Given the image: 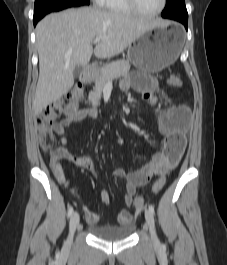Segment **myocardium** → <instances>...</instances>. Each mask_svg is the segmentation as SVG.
<instances>
[{
	"instance_id": "f54148a6",
	"label": "myocardium",
	"mask_w": 227,
	"mask_h": 265,
	"mask_svg": "<svg viewBox=\"0 0 227 265\" xmlns=\"http://www.w3.org/2000/svg\"><path fill=\"white\" fill-rule=\"evenodd\" d=\"M129 6L132 8V10L140 15V16H144V17H153V16H156L158 14H160L166 7V3H167V0H162V3H161V6L159 7L158 10H156L155 12H151V13H146V12H143L139 7H138V4H137V1L136 0H127Z\"/></svg>"
}]
</instances>
